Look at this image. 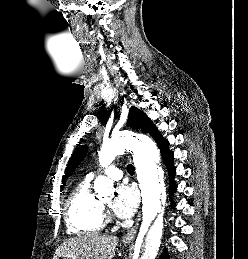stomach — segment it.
<instances>
[{"instance_id":"1","label":"stomach","mask_w":248,"mask_h":259,"mask_svg":"<svg viewBox=\"0 0 248 259\" xmlns=\"http://www.w3.org/2000/svg\"><path fill=\"white\" fill-rule=\"evenodd\" d=\"M57 259H73L71 257H66V256H59Z\"/></svg>"}]
</instances>
